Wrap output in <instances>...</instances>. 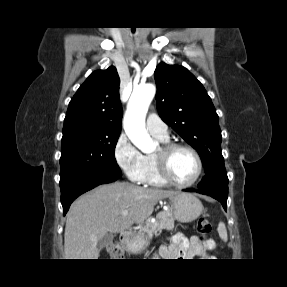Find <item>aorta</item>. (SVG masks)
<instances>
[{
	"mask_svg": "<svg viewBox=\"0 0 287 287\" xmlns=\"http://www.w3.org/2000/svg\"><path fill=\"white\" fill-rule=\"evenodd\" d=\"M156 93L152 84L135 88L127 104L123 126L131 142L142 152H153L157 143L148 134L145 118L151 101Z\"/></svg>",
	"mask_w": 287,
	"mask_h": 287,
	"instance_id": "762f6f07",
	"label": "aorta"
}]
</instances>
